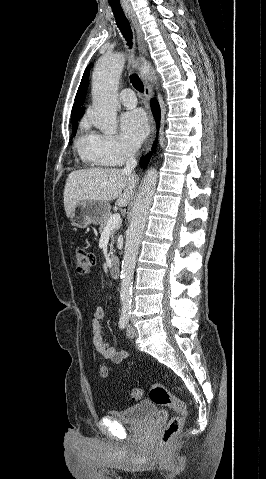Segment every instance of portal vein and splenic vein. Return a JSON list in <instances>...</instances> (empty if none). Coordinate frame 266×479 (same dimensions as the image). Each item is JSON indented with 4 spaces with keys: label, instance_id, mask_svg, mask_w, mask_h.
<instances>
[{
    "label": "portal vein and splenic vein",
    "instance_id": "portal-vein-and-splenic-vein-1",
    "mask_svg": "<svg viewBox=\"0 0 266 479\" xmlns=\"http://www.w3.org/2000/svg\"><path fill=\"white\" fill-rule=\"evenodd\" d=\"M120 224H121L120 214H114L109 218L104 231H110V230L118 227Z\"/></svg>",
    "mask_w": 266,
    "mask_h": 479
}]
</instances>
